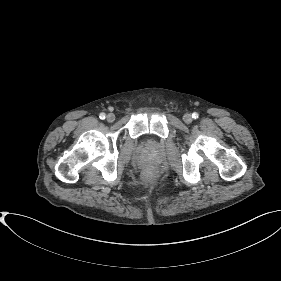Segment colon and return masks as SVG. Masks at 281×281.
<instances>
[{"label":"colon","instance_id":"obj_1","mask_svg":"<svg viewBox=\"0 0 281 281\" xmlns=\"http://www.w3.org/2000/svg\"><path fill=\"white\" fill-rule=\"evenodd\" d=\"M154 177H155V172L153 170H147L144 173V179L146 181H150V180L154 179Z\"/></svg>","mask_w":281,"mask_h":281}]
</instances>
